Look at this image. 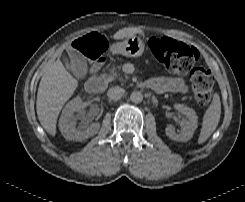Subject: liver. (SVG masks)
<instances>
[{"mask_svg": "<svg viewBox=\"0 0 245 202\" xmlns=\"http://www.w3.org/2000/svg\"><path fill=\"white\" fill-rule=\"evenodd\" d=\"M141 32L142 30L136 27L123 28L113 37L123 39ZM77 87V80L67 72L60 60L47 66L39 84L36 110L40 124L50 135L56 134L58 115Z\"/></svg>", "mask_w": 245, "mask_h": 202, "instance_id": "1", "label": "liver"}]
</instances>
